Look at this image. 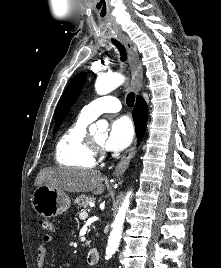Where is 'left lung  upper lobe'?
I'll return each mask as SVG.
<instances>
[{"label":"left lung upper lobe","instance_id":"5c2ea615","mask_svg":"<svg viewBox=\"0 0 221 268\" xmlns=\"http://www.w3.org/2000/svg\"><path fill=\"white\" fill-rule=\"evenodd\" d=\"M86 81V73H79L71 83L66 87L63 92L55 111V123L56 127L53 133L59 129L65 115L70 110L71 106L76 102L83 86Z\"/></svg>","mask_w":221,"mask_h":268}]
</instances>
